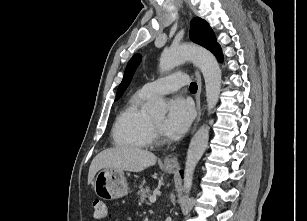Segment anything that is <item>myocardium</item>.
Returning a JSON list of instances; mask_svg holds the SVG:
<instances>
[{
    "mask_svg": "<svg viewBox=\"0 0 307 221\" xmlns=\"http://www.w3.org/2000/svg\"><path fill=\"white\" fill-rule=\"evenodd\" d=\"M150 127H151V143L156 145H161L164 143V138L162 135L161 128L150 119Z\"/></svg>",
    "mask_w": 307,
    "mask_h": 221,
    "instance_id": "1",
    "label": "myocardium"
}]
</instances>
